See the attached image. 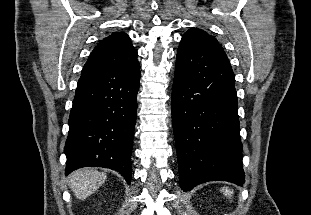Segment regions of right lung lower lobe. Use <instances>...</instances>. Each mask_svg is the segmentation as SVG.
<instances>
[{"label": "right lung lower lobe", "mask_w": 311, "mask_h": 215, "mask_svg": "<svg viewBox=\"0 0 311 215\" xmlns=\"http://www.w3.org/2000/svg\"><path fill=\"white\" fill-rule=\"evenodd\" d=\"M140 85V64L84 66L69 116L66 174L105 167L131 181V154Z\"/></svg>", "instance_id": "1"}]
</instances>
